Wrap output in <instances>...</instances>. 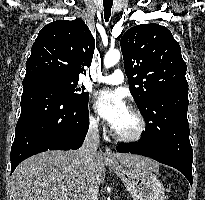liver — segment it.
I'll list each match as a JSON object with an SVG mask.
<instances>
[{"label": "liver", "mask_w": 205, "mask_h": 200, "mask_svg": "<svg viewBox=\"0 0 205 200\" xmlns=\"http://www.w3.org/2000/svg\"><path fill=\"white\" fill-rule=\"evenodd\" d=\"M126 167H149L158 164L140 155L116 153ZM106 163L102 151L93 157V165L85 167L79 151L44 152L21 162L12 175L14 200H86L91 184L99 188L105 181Z\"/></svg>", "instance_id": "1"}]
</instances>
